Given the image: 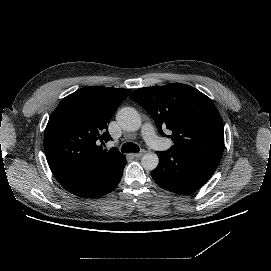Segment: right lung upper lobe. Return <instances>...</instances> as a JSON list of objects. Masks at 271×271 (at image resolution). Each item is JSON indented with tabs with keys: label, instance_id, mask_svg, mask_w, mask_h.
Listing matches in <instances>:
<instances>
[{
	"label": "right lung upper lobe",
	"instance_id": "cb5924a9",
	"mask_svg": "<svg viewBox=\"0 0 271 271\" xmlns=\"http://www.w3.org/2000/svg\"><path fill=\"white\" fill-rule=\"evenodd\" d=\"M128 89L89 86L66 96L50 115L44 132L48 165L69 192L89 189L114 174L125 158L116 148L103 150L111 139L107 123Z\"/></svg>",
	"mask_w": 271,
	"mask_h": 271
}]
</instances>
